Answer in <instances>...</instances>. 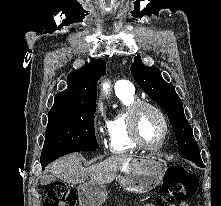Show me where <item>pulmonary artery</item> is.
I'll return each instance as SVG.
<instances>
[{
    "mask_svg": "<svg viewBox=\"0 0 221 206\" xmlns=\"http://www.w3.org/2000/svg\"><path fill=\"white\" fill-rule=\"evenodd\" d=\"M115 91L133 92V86H132L131 82H129L127 80H120V81H117V83L115 85Z\"/></svg>",
    "mask_w": 221,
    "mask_h": 206,
    "instance_id": "e3ab8cb5",
    "label": "pulmonary artery"
}]
</instances>
